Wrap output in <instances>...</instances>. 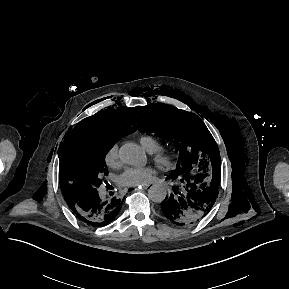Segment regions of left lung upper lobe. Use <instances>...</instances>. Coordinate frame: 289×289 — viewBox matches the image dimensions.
I'll return each instance as SVG.
<instances>
[{
  "label": "left lung upper lobe",
  "mask_w": 289,
  "mask_h": 289,
  "mask_svg": "<svg viewBox=\"0 0 289 289\" xmlns=\"http://www.w3.org/2000/svg\"><path fill=\"white\" fill-rule=\"evenodd\" d=\"M136 110L138 130L169 139L180 153L177 169L168 178L179 182L195 175L219 178L218 146L197 115L162 103L137 107Z\"/></svg>",
  "instance_id": "obj_1"
}]
</instances>
